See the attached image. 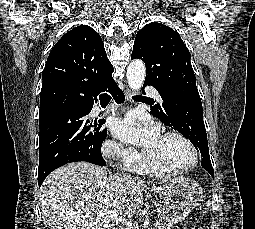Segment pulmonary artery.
Wrapping results in <instances>:
<instances>
[{"label": "pulmonary artery", "mask_w": 255, "mask_h": 229, "mask_svg": "<svg viewBox=\"0 0 255 229\" xmlns=\"http://www.w3.org/2000/svg\"><path fill=\"white\" fill-rule=\"evenodd\" d=\"M146 92L149 93V94H152L157 100L161 101V98L158 94V91L153 88V87H148L146 89ZM111 109V106H107V107H103V108H98L97 109V113L101 114V113H105L107 111H109Z\"/></svg>", "instance_id": "pulmonary-artery-1"}]
</instances>
